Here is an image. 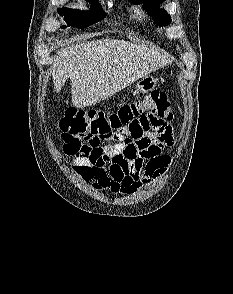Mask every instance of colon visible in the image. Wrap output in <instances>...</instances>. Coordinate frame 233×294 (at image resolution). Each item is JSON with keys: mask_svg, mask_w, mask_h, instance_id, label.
Instances as JSON below:
<instances>
[{"mask_svg": "<svg viewBox=\"0 0 233 294\" xmlns=\"http://www.w3.org/2000/svg\"><path fill=\"white\" fill-rule=\"evenodd\" d=\"M135 110H157L160 117L172 118L167 94L153 91L148 96L121 105L115 112L68 108L60 120L61 141L68 156H103V145L124 138L127 120H136ZM131 141L130 137L124 138ZM120 156V155H117Z\"/></svg>", "mask_w": 233, "mask_h": 294, "instance_id": "1", "label": "colon"}]
</instances>
